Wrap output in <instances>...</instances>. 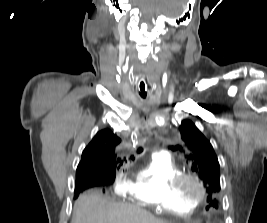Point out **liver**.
Masks as SVG:
<instances>
[{"label": "liver", "instance_id": "1", "mask_svg": "<svg viewBox=\"0 0 267 223\" xmlns=\"http://www.w3.org/2000/svg\"><path fill=\"white\" fill-rule=\"evenodd\" d=\"M71 223H168L147 210L128 203L109 202L98 191L81 195Z\"/></svg>", "mask_w": 267, "mask_h": 223}]
</instances>
